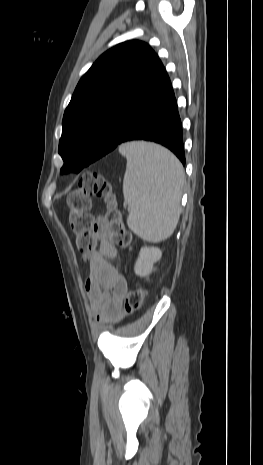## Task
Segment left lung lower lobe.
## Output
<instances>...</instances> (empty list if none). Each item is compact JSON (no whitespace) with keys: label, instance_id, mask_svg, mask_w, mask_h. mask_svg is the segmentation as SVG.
<instances>
[{"label":"left lung lower lobe","instance_id":"1","mask_svg":"<svg viewBox=\"0 0 263 465\" xmlns=\"http://www.w3.org/2000/svg\"><path fill=\"white\" fill-rule=\"evenodd\" d=\"M182 124L170 79L161 61L146 74L136 96L120 107L113 127L91 159L85 160L74 155L64 160L61 173L84 167L127 141L146 140L170 149L185 164Z\"/></svg>","mask_w":263,"mask_h":465}]
</instances>
